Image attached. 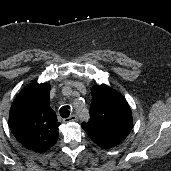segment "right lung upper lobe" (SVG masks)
<instances>
[{"mask_svg":"<svg viewBox=\"0 0 171 171\" xmlns=\"http://www.w3.org/2000/svg\"><path fill=\"white\" fill-rule=\"evenodd\" d=\"M50 85L31 84L15 98L9 114L11 132L25 148L44 153L58 139L59 122L49 106Z\"/></svg>","mask_w":171,"mask_h":171,"instance_id":"1","label":"right lung upper lobe"}]
</instances>
